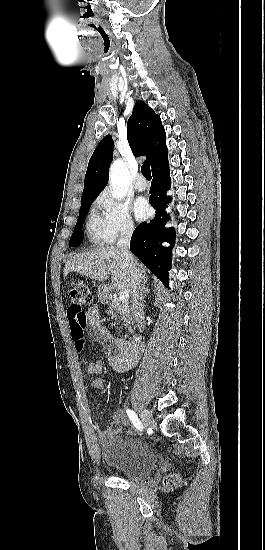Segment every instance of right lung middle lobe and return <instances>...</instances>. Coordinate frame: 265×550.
Here are the masks:
<instances>
[{
	"mask_svg": "<svg viewBox=\"0 0 265 550\" xmlns=\"http://www.w3.org/2000/svg\"><path fill=\"white\" fill-rule=\"evenodd\" d=\"M95 198H86V199H81V207H80V211H79V217H78V220H77V223H76V226H75V229L73 231V234L70 238V241H69V247H72V246H79L81 241H82V226H83V221L86 217V214L88 212V210L90 209V206L93 202Z\"/></svg>",
	"mask_w": 265,
	"mask_h": 550,
	"instance_id": "obj_1",
	"label": "right lung middle lobe"
}]
</instances>
